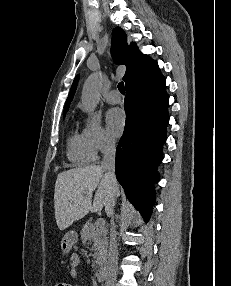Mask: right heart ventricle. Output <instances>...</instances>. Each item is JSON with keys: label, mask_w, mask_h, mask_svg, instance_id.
<instances>
[{"label": "right heart ventricle", "mask_w": 231, "mask_h": 286, "mask_svg": "<svg viewBox=\"0 0 231 286\" xmlns=\"http://www.w3.org/2000/svg\"><path fill=\"white\" fill-rule=\"evenodd\" d=\"M67 157L77 165L93 162L97 155L88 144L83 132L73 130L67 138Z\"/></svg>", "instance_id": "obj_1"}]
</instances>
